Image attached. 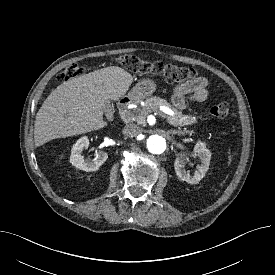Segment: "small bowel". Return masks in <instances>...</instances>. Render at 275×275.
<instances>
[{"label": "small bowel", "instance_id": "1", "mask_svg": "<svg viewBox=\"0 0 275 275\" xmlns=\"http://www.w3.org/2000/svg\"><path fill=\"white\" fill-rule=\"evenodd\" d=\"M208 81L204 77H197L191 81L178 85L174 88L172 101L176 108L185 109L187 106L186 96L195 102H203L208 97Z\"/></svg>", "mask_w": 275, "mask_h": 275}]
</instances>
